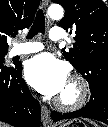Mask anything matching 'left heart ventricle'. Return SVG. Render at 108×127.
<instances>
[{
  "label": "left heart ventricle",
  "mask_w": 108,
  "mask_h": 127,
  "mask_svg": "<svg viewBox=\"0 0 108 127\" xmlns=\"http://www.w3.org/2000/svg\"><path fill=\"white\" fill-rule=\"evenodd\" d=\"M75 95L74 86L68 81L63 91L60 93L59 96L64 97L66 99H71Z\"/></svg>",
  "instance_id": "left-heart-ventricle-1"
}]
</instances>
